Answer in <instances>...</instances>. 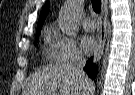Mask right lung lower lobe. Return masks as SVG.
Listing matches in <instances>:
<instances>
[{
    "mask_svg": "<svg viewBox=\"0 0 135 95\" xmlns=\"http://www.w3.org/2000/svg\"><path fill=\"white\" fill-rule=\"evenodd\" d=\"M93 58L91 57L87 63L86 66L84 67V71L89 75L91 79H95L97 75V66L93 64Z\"/></svg>",
    "mask_w": 135,
    "mask_h": 95,
    "instance_id": "obj_1",
    "label": "right lung lower lobe"
}]
</instances>
